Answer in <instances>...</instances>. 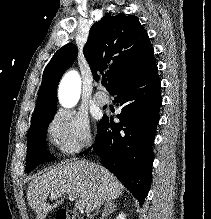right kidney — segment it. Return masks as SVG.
Listing matches in <instances>:
<instances>
[{"instance_id": "ca27d5eb", "label": "right kidney", "mask_w": 211, "mask_h": 219, "mask_svg": "<svg viewBox=\"0 0 211 219\" xmlns=\"http://www.w3.org/2000/svg\"><path fill=\"white\" fill-rule=\"evenodd\" d=\"M125 217H126L125 214H124V213H121V214H119V215L117 216L116 219H126Z\"/></svg>"}]
</instances>
